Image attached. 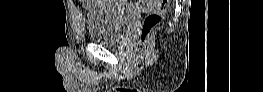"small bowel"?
<instances>
[{
  "label": "small bowel",
  "instance_id": "obj_1",
  "mask_svg": "<svg viewBox=\"0 0 263 92\" xmlns=\"http://www.w3.org/2000/svg\"><path fill=\"white\" fill-rule=\"evenodd\" d=\"M92 1H87L88 4H90ZM148 4H155L156 2L155 1H147Z\"/></svg>",
  "mask_w": 263,
  "mask_h": 92
}]
</instances>
